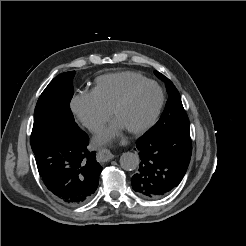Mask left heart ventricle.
I'll use <instances>...</instances> for the list:
<instances>
[{"label":"left heart ventricle","mask_w":246,"mask_h":246,"mask_svg":"<svg viewBox=\"0 0 246 246\" xmlns=\"http://www.w3.org/2000/svg\"><path fill=\"white\" fill-rule=\"evenodd\" d=\"M158 98L159 94L154 86L140 89L120 110L117 121L124 128H134L144 124L151 117Z\"/></svg>","instance_id":"left-heart-ventricle-1"}]
</instances>
